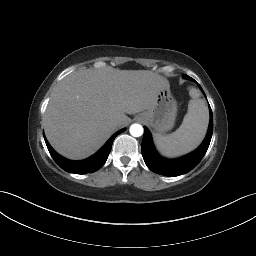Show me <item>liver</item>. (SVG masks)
<instances>
[{
    "instance_id": "obj_1",
    "label": "liver",
    "mask_w": 256,
    "mask_h": 256,
    "mask_svg": "<svg viewBox=\"0 0 256 256\" xmlns=\"http://www.w3.org/2000/svg\"><path fill=\"white\" fill-rule=\"evenodd\" d=\"M166 83L148 70L75 71L51 94L43 118L47 140L62 156L85 159L129 123L126 114L147 110Z\"/></svg>"
}]
</instances>
